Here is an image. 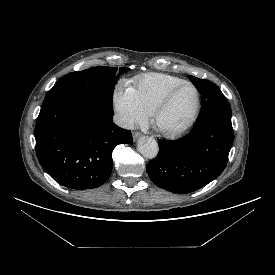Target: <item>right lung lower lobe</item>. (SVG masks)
<instances>
[{
  "label": "right lung lower lobe",
  "instance_id": "1",
  "mask_svg": "<svg viewBox=\"0 0 275 275\" xmlns=\"http://www.w3.org/2000/svg\"><path fill=\"white\" fill-rule=\"evenodd\" d=\"M113 108L88 95L45 99L35 127L43 169L71 189L101 186L111 175L112 151L132 143L130 131L112 122Z\"/></svg>",
  "mask_w": 275,
  "mask_h": 275
}]
</instances>
